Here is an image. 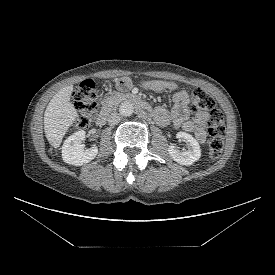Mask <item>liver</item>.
<instances>
[{"instance_id":"obj_1","label":"liver","mask_w":275,"mask_h":275,"mask_svg":"<svg viewBox=\"0 0 275 275\" xmlns=\"http://www.w3.org/2000/svg\"><path fill=\"white\" fill-rule=\"evenodd\" d=\"M72 91L73 85L60 89L50 100L44 113L45 136L56 149L78 116L77 110L70 102Z\"/></svg>"}]
</instances>
